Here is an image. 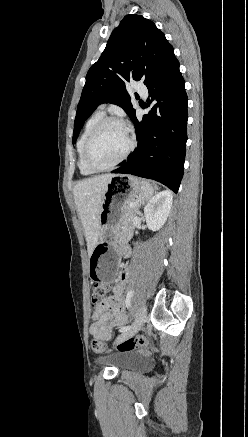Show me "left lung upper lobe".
<instances>
[{
  "label": "left lung upper lobe",
  "instance_id": "left-lung-upper-lobe-1",
  "mask_svg": "<svg viewBox=\"0 0 248 437\" xmlns=\"http://www.w3.org/2000/svg\"><path fill=\"white\" fill-rule=\"evenodd\" d=\"M174 59L172 45L152 21L136 14L126 15L87 73L74 122L73 144L84 121L101 103L122 107L132 120L135 110L125 84L131 79H143L148 86Z\"/></svg>",
  "mask_w": 248,
  "mask_h": 437
}]
</instances>
